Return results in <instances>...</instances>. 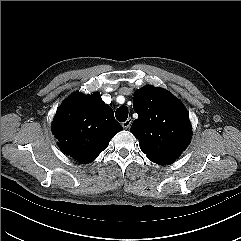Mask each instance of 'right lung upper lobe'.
<instances>
[{"label": "right lung upper lobe", "mask_w": 241, "mask_h": 241, "mask_svg": "<svg viewBox=\"0 0 241 241\" xmlns=\"http://www.w3.org/2000/svg\"><path fill=\"white\" fill-rule=\"evenodd\" d=\"M52 129L62 151L80 163H88L123 128L98 93L88 96L76 93L57 110Z\"/></svg>", "instance_id": "right-lung-upper-lobe-1"}]
</instances>
